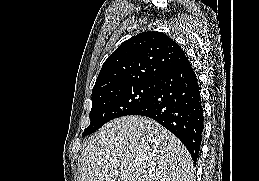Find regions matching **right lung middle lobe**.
I'll return each instance as SVG.
<instances>
[{"instance_id": "right-lung-middle-lobe-1", "label": "right lung middle lobe", "mask_w": 259, "mask_h": 181, "mask_svg": "<svg viewBox=\"0 0 259 181\" xmlns=\"http://www.w3.org/2000/svg\"><path fill=\"white\" fill-rule=\"evenodd\" d=\"M153 90L154 83H141L93 94L89 114L91 122L84 130L83 136L95 132L114 118L130 115L148 100Z\"/></svg>"}]
</instances>
